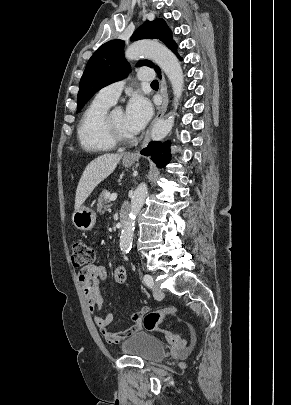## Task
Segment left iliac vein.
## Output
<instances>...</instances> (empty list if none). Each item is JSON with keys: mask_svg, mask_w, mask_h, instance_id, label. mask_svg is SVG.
<instances>
[{"mask_svg": "<svg viewBox=\"0 0 291 405\" xmlns=\"http://www.w3.org/2000/svg\"><path fill=\"white\" fill-rule=\"evenodd\" d=\"M152 292H153L154 297H156V298L163 297V291L161 290V288L158 284L153 285Z\"/></svg>", "mask_w": 291, "mask_h": 405, "instance_id": "left-iliac-vein-1", "label": "left iliac vein"}]
</instances>
